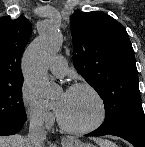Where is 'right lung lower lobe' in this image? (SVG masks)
Here are the masks:
<instances>
[{"mask_svg": "<svg viewBox=\"0 0 145 147\" xmlns=\"http://www.w3.org/2000/svg\"><path fill=\"white\" fill-rule=\"evenodd\" d=\"M24 125H25V123L14 126V127L0 128V136L13 135L16 132L20 131L23 128Z\"/></svg>", "mask_w": 145, "mask_h": 147, "instance_id": "1", "label": "right lung lower lobe"}]
</instances>
